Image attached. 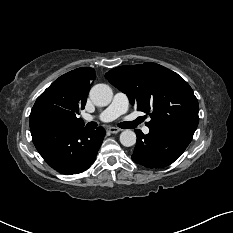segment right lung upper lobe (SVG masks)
I'll return each mask as SVG.
<instances>
[{
  "mask_svg": "<svg viewBox=\"0 0 233 233\" xmlns=\"http://www.w3.org/2000/svg\"><path fill=\"white\" fill-rule=\"evenodd\" d=\"M93 68H78L55 80L36 100L30 113V129L53 123L58 128L83 127L76 114L84 109Z\"/></svg>",
  "mask_w": 233,
  "mask_h": 233,
  "instance_id": "1",
  "label": "right lung upper lobe"
}]
</instances>
